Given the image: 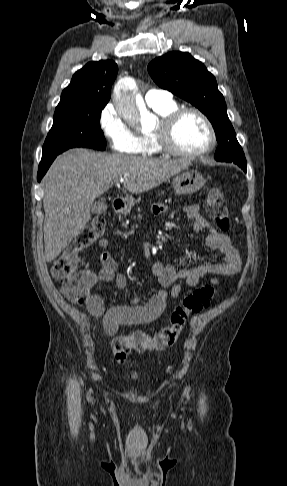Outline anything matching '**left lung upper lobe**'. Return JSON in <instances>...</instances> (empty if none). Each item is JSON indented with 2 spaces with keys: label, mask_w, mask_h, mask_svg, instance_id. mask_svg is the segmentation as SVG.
I'll use <instances>...</instances> for the list:
<instances>
[{
  "label": "left lung upper lobe",
  "mask_w": 287,
  "mask_h": 486,
  "mask_svg": "<svg viewBox=\"0 0 287 486\" xmlns=\"http://www.w3.org/2000/svg\"><path fill=\"white\" fill-rule=\"evenodd\" d=\"M148 72L161 88L190 102L207 116L219 143L216 160L246 162L216 79L200 61L186 52H170L154 59L148 65Z\"/></svg>",
  "instance_id": "1"
}]
</instances>
